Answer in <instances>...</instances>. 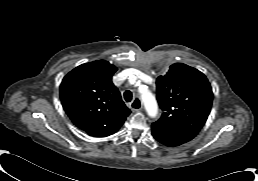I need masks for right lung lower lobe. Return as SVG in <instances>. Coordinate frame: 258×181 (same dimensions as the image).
I'll use <instances>...</instances> for the list:
<instances>
[{"mask_svg":"<svg viewBox=\"0 0 258 181\" xmlns=\"http://www.w3.org/2000/svg\"><path fill=\"white\" fill-rule=\"evenodd\" d=\"M120 127H114L113 129L109 130L107 133H103V134H97V135H94L96 137H105V136H108V135H111L113 133H115Z\"/></svg>","mask_w":258,"mask_h":181,"instance_id":"obj_1","label":"right lung lower lobe"}]
</instances>
